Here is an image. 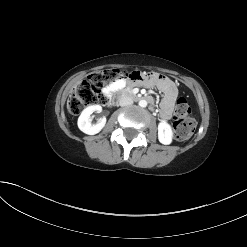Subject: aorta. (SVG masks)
Instances as JSON below:
<instances>
[{"instance_id": "762f6f07", "label": "aorta", "mask_w": 247, "mask_h": 247, "mask_svg": "<svg viewBox=\"0 0 247 247\" xmlns=\"http://www.w3.org/2000/svg\"><path fill=\"white\" fill-rule=\"evenodd\" d=\"M139 106L143 107V108L146 107L147 106V101L146 100H140L139 101Z\"/></svg>"}]
</instances>
